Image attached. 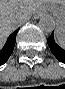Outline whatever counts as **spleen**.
I'll list each match as a JSON object with an SVG mask.
<instances>
[{"instance_id":"3e777b00","label":"spleen","mask_w":65,"mask_h":89,"mask_svg":"<svg viewBox=\"0 0 65 89\" xmlns=\"http://www.w3.org/2000/svg\"><path fill=\"white\" fill-rule=\"evenodd\" d=\"M56 39H57L58 44L62 48H65V30L62 27H59L56 30Z\"/></svg>"}]
</instances>
